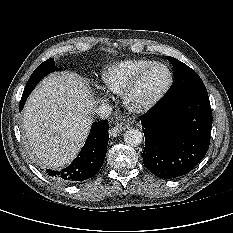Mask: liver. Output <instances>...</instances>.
Listing matches in <instances>:
<instances>
[{
  "label": "liver",
  "instance_id": "liver-1",
  "mask_svg": "<svg viewBox=\"0 0 233 233\" xmlns=\"http://www.w3.org/2000/svg\"><path fill=\"white\" fill-rule=\"evenodd\" d=\"M95 100L77 74L53 73L29 96L23 125L33 159L59 168L80 151L92 124Z\"/></svg>",
  "mask_w": 233,
  "mask_h": 233
}]
</instances>
